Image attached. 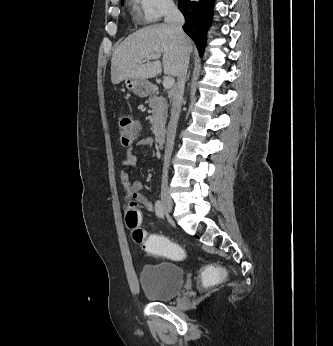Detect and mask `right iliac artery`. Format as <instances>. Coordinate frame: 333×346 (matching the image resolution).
Listing matches in <instances>:
<instances>
[{
	"mask_svg": "<svg viewBox=\"0 0 333 346\" xmlns=\"http://www.w3.org/2000/svg\"><path fill=\"white\" fill-rule=\"evenodd\" d=\"M155 211H156V215L159 218L163 217V215H164L163 205H162V202L160 200H157L156 203H155Z\"/></svg>",
	"mask_w": 333,
	"mask_h": 346,
	"instance_id": "82829eb1",
	"label": "right iliac artery"
}]
</instances>
